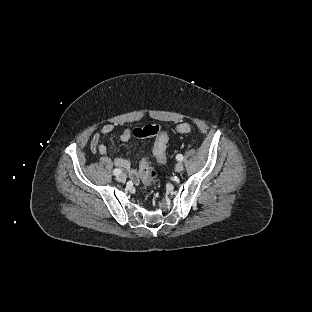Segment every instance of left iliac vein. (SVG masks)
Returning <instances> with one entry per match:
<instances>
[{
    "instance_id": "1",
    "label": "left iliac vein",
    "mask_w": 312,
    "mask_h": 312,
    "mask_svg": "<svg viewBox=\"0 0 312 312\" xmlns=\"http://www.w3.org/2000/svg\"><path fill=\"white\" fill-rule=\"evenodd\" d=\"M175 169H176L177 172H182L183 169H184V166H183V164H182L181 162H178V163L176 164Z\"/></svg>"
}]
</instances>
